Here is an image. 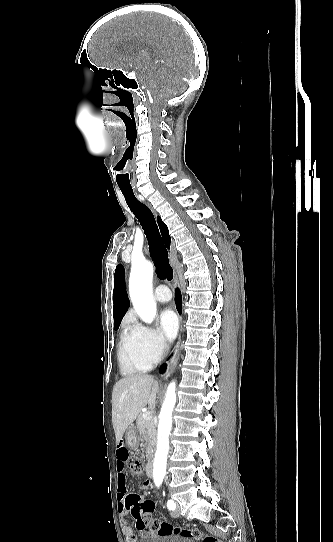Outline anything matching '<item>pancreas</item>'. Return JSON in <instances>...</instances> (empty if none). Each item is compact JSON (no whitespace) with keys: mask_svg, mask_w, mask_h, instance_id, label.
I'll return each mask as SVG.
<instances>
[{"mask_svg":"<svg viewBox=\"0 0 333 542\" xmlns=\"http://www.w3.org/2000/svg\"><path fill=\"white\" fill-rule=\"evenodd\" d=\"M144 412L139 414L136 420L137 430L140 434V442L146 450V458L152 460L154 456V448L156 446L157 432L154 428L153 420H144Z\"/></svg>","mask_w":333,"mask_h":542,"instance_id":"cf45deb5","label":"pancreas"}]
</instances>
